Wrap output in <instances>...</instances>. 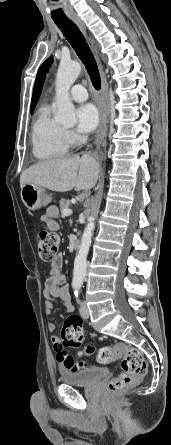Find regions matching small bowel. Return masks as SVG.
Masks as SVG:
<instances>
[{
	"mask_svg": "<svg viewBox=\"0 0 171 445\" xmlns=\"http://www.w3.org/2000/svg\"><path fill=\"white\" fill-rule=\"evenodd\" d=\"M44 223L50 230L58 229L57 222L52 220L49 217V214H47ZM62 265V255H57L51 262L49 276L45 281L43 288V295L45 297L44 312L46 315L52 314L55 302L61 303L67 313L74 311L69 288L66 284V276L61 271ZM47 328L50 332H55L56 323L52 320L48 321ZM51 343L56 354V361L63 370L74 371L84 368L82 362L76 361L71 355L63 350L58 335L54 334L51 336Z\"/></svg>",
	"mask_w": 171,
	"mask_h": 445,
	"instance_id": "1",
	"label": "small bowel"
}]
</instances>
